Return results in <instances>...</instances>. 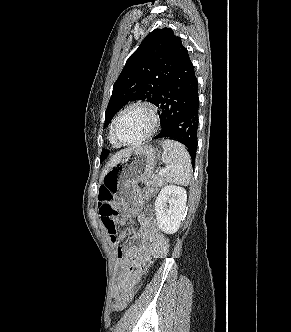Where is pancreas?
Wrapping results in <instances>:
<instances>
[{"mask_svg":"<svg viewBox=\"0 0 291 332\" xmlns=\"http://www.w3.org/2000/svg\"><path fill=\"white\" fill-rule=\"evenodd\" d=\"M144 184L147 187L152 186V188L157 191L159 187L165 184V178L163 175L152 176L150 179L145 180Z\"/></svg>","mask_w":291,"mask_h":332,"instance_id":"obj_1","label":"pancreas"}]
</instances>
